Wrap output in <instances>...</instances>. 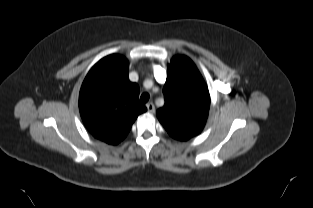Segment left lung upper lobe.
<instances>
[{
    "label": "left lung upper lobe",
    "instance_id": "left-lung-upper-lobe-1",
    "mask_svg": "<svg viewBox=\"0 0 313 208\" xmlns=\"http://www.w3.org/2000/svg\"><path fill=\"white\" fill-rule=\"evenodd\" d=\"M163 92L165 104L156 114L169 135L181 141L198 135L208 117L210 95L201 74L188 57L172 58Z\"/></svg>",
    "mask_w": 313,
    "mask_h": 208
}]
</instances>
